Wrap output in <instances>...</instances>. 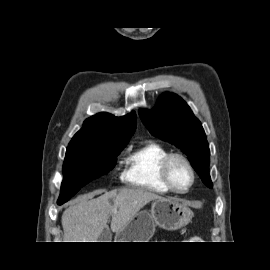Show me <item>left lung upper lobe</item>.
Segmentation results:
<instances>
[{
  "mask_svg": "<svg viewBox=\"0 0 270 270\" xmlns=\"http://www.w3.org/2000/svg\"><path fill=\"white\" fill-rule=\"evenodd\" d=\"M152 135L181 148L203 183L212 188L209 175L210 150L200 121L176 94L164 93L152 110H139Z\"/></svg>",
  "mask_w": 270,
  "mask_h": 270,
  "instance_id": "5c2ea615",
  "label": "left lung upper lobe"
}]
</instances>
